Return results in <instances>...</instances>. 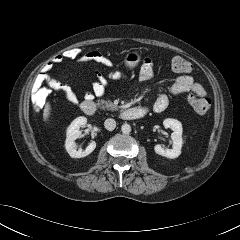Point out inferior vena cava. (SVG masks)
<instances>
[{
	"mask_svg": "<svg viewBox=\"0 0 240 240\" xmlns=\"http://www.w3.org/2000/svg\"><path fill=\"white\" fill-rule=\"evenodd\" d=\"M104 126L107 130L112 131L116 127V122L114 119L108 118L105 120Z\"/></svg>",
	"mask_w": 240,
	"mask_h": 240,
	"instance_id": "inferior-vena-cava-1",
	"label": "inferior vena cava"
}]
</instances>
